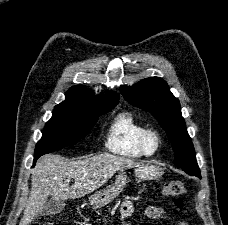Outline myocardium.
<instances>
[{
  "label": "myocardium",
  "mask_w": 228,
  "mask_h": 225,
  "mask_svg": "<svg viewBox=\"0 0 228 225\" xmlns=\"http://www.w3.org/2000/svg\"><path fill=\"white\" fill-rule=\"evenodd\" d=\"M162 137L154 129H148L142 137V146L148 155H155L161 148Z\"/></svg>",
  "instance_id": "myocardium-1"
}]
</instances>
